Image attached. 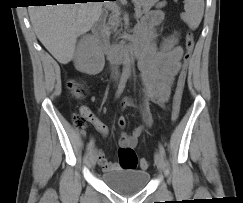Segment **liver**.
<instances>
[{
    "mask_svg": "<svg viewBox=\"0 0 243 203\" xmlns=\"http://www.w3.org/2000/svg\"><path fill=\"white\" fill-rule=\"evenodd\" d=\"M102 2L31 6L33 29L44 47L61 64L70 62L77 38L89 31L102 13Z\"/></svg>",
    "mask_w": 243,
    "mask_h": 203,
    "instance_id": "1",
    "label": "liver"
}]
</instances>
